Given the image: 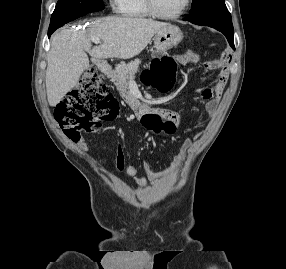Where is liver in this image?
Wrapping results in <instances>:
<instances>
[{
	"mask_svg": "<svg viewBox=\"0 0 286 269\" xmlns=\"http://www.w3.org/2000/svg\"><path fill=\"white\" fill-rule=\"evenodd\" d=\"M168 23L144 18L105 17L91 23L86 30L65 29L51 39L47 58L46 91L50 106H56L89 68V58L130 59L139 55L152 37ZM103 42L92 47L91 41Z\"/></svg>",
	"mask_w": 286,
	"mask_h": 269,
	"instance_id": "1",
	"label": "liver"
}]
</instances>
